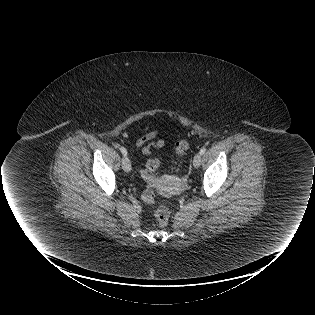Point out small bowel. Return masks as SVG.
I'll return each mask as SVG.
<instances>
[{
    "label": "small bowel",
    "instance_id": "obj_1",
    "mask_svg": "<svg viewBox=\"0 0 315 315\" xmlns=\"http://www.w3.org/2000/svg\"><path fill=\"white\" fill-rule=\"evenodd\" d=\"M158 130L149 131L136 138L135 144L141 147L143 154L150 155L153 149L163 148L166 142L163 139L156 140L158 136Z\"/></svg>",
    "mask_w": 315,
    "mask_h": 315
}]
</instances>
